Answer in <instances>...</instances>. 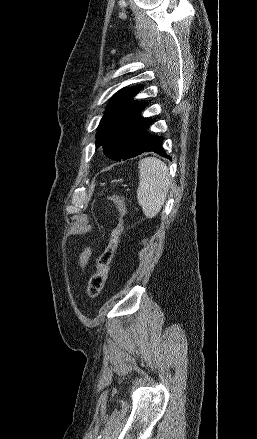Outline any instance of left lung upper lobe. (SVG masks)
Instances as JSON below:
<instances>
[{
  "label": "left lung upper lobe",
  "mask_w": 257,
  "mask_h": 439,
  "mask_svg": "<svg viewBox=\"0 0 257 439\" xmlns=\"http://www.w3.org/2000/svg\"><path fill=\"white\" fill-rule=\"evenodd\" d=\"M141 88L119 90L107 105L98 126L96 148L102 146L104 154L113 160L120 161L133 151L148 120L140 115L147 103L131 101Z\"/></svg>",
  "instance_id": "left-lung-upper-lobe-1"
}]
</instances>
